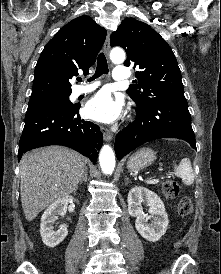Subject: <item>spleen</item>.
<instances>
[{"instance_id":"1","label":"spleen","mask_w":221,"mask_h":274,"mask_svg":"<svg viewBox=\"0 0 221 274\" xmlns=\"http://www.w3.org/2000/svg\"><path fill=\"white\" fill-rule=\"evenodd\" d=\"M175 172L182 178V181L186 185H191L194 182V173L191 165V161L188 158H184L181 162L175 166Z\"/></svg>"}]
</instances>
